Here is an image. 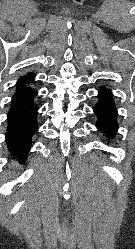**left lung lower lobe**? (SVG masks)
Masks as SVG:
<instances>
[{
  "instance_id": "1",
  "label": "left lung lower lobe",
  "mask_w": 135,
  "mask_h": 249,
  "mask_svg": "<svg viewBox=\"0 0 135 249\" xmlns=\"http://www.w3.org/2000/svg\"><path fill=\"white\" fill-rule=\"evenodd\" d=\"M93 111L97 117L96 127L108 138L114 139L118 130V113L111 89L102 87L97 95Z\"/></svg>"
}]
</instances>
